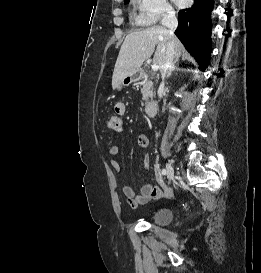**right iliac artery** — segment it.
Listing matches in <instances>:
<instances>
[{"label":"right iliac artery","mask_w":261,"mask_h":273,"mask_svg":"<svg viewBox=\"0 0 261 273\" xmlns=\"http://www.w3.org/2000/svg\"><path fill=\"white\" fill-rule=\"evenodd\" d=\"M162 174H163V175H166V169H163V170H162Z\"/></svg>","instance_id":"82829eb1"}]
</instances>
